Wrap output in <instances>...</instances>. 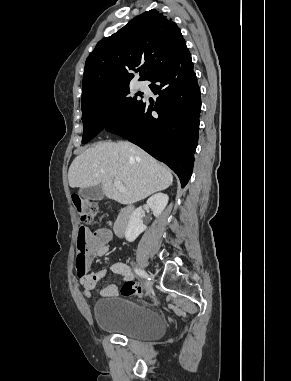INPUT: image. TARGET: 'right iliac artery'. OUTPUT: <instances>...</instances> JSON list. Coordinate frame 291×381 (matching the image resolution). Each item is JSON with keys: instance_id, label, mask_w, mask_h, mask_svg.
<instances>
[{"instance_id": "right-iliac-artery-1", "label": "right iliac artery", "mask_w": 291, "mask_h": 381, "mask_svg": "<svg viewBox=\"0 0 291 381\" xmlns=\"http://www.w3.org/2000/svg\"><path fill=\"white\" fill-rule=\"evenodd\" d=\"M134 272H135L137 275H139L140 277L145 278V279H147V280H150V276H149V274L146 273L145 271H142L141 269H137V268H135V269H134Z\"/></svg>"}]
</instances>
